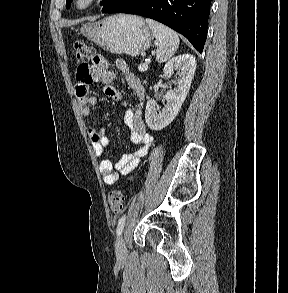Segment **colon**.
<instances>
[{
    "label": "colon",
    "mask_w": 288,
    "mask_h": 293,
    "mask_svg": "<svg viewBox=\"0 0 288 293\" xmlns=\"http://www.w3.org/2000/svg\"><path fill=\"white\" fill-rule=\"evenodd\" d=\"M74 51L77 61L80 65L88 66L90 61H93L95 52L93 47L83 40L74 42ZM108 203L114 213H120L124 205V195L122 189L112 191L108 196Z\"/></svg>",
    "instance_id": "5ec220e1"
}]
</instances>
